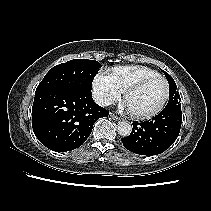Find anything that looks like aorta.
<instances>
[{"label":"aorta","instance_id":"aorta-1","mask_svg":"<svg viewBox=\"0 0 211 211\" xmlns=\"http://www.w3.org/2000/svg\"><path fill=\"white\" fill-rule=\"evenodd\" d=\"M118 133L123 136H129L132 131V126L127 121H119L117 124Z\"/></svg>","mask_w":211,"mask_h":211}]
</instances>
